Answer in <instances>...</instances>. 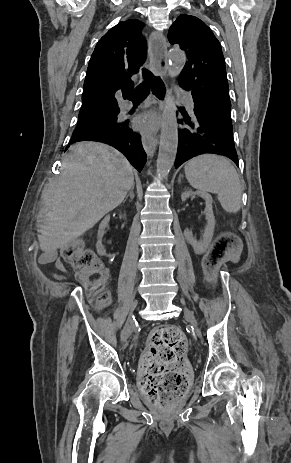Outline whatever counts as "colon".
I'll return each instance as SVG.
<instances>
[{"label": "colon", "mask_w": 291, "mask_h": 463, "mask_svg": "<svg viewBox=\"0 0 291 463\" xmlns=\"http://www.w3.org/2000/svg\"><path fill=\"white\" fill-rule=\"evenodd\" d=\"M237 248V235H220L205 256L207 272H214ZM61 257L85 284L96 306L110 302V293L105 289L108 273L91 249L75 241L61 249ZM187 347L185 335L175 326H164L152 333L141 359V387L153 403L170 408L184 394L188 387Z\"/></svg>", "instance_id": "1"}]
</instances>
